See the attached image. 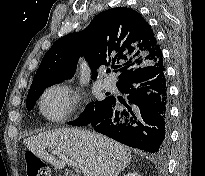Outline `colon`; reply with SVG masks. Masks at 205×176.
Here are the masks:
<instances>
[{"label": "colon", "instance_id": "1", "mask_svg": "<svg viewBox=\"0 0 205 176\" xmlns=\"http://www.w3.org/2000/svg\"><path fill=\"white\" fill-rule=\"evenodd\" d=\"M24 162L26 164L27 176H51L47 164L31 151H25Z\"/></svg>", "mask_w": 205, "mask_h": 176}]
</instances>
